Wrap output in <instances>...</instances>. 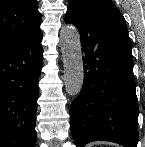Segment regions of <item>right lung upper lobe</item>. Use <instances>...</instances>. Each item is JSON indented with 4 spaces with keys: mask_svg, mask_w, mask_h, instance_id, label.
<instances>
[{
    "mask_svg": "<svg viewBox=\"0 0 145 147\" xmlns=\"http://www.w3.org/2000/svg\"><path fill=\"white\" fill-rule=\"evenodd\" d=\"M36 0H0V50L41 32Z\"/></svg>",
    "mask_w": 145,
    "mask_h": 147,
    "instance_id": "obj_1",
    "label": "right lung upper lobe"
}]
</instances>
